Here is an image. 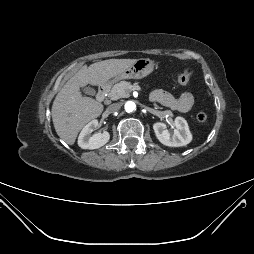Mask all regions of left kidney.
<instances>
[{
	"label": "left kidney",
	"mask_w": 254,
	"mask_h": 254,
	"mask_svg": "<svg viewBox=\"0 0 254 254\" xmlns=\"http://www.w3.org/2000/svg\"><path fill=\"white\" fill-rule=\"evenodd\" d=\"M174 126L173 132H169L166 124L162 122L154 123L153 129L157 139L162 144L170 147H180L189 144L192 141V134L187 121L183 117H176Z\"/></svg>",
	"instance_id": "obj_1"
}]
</instances>
